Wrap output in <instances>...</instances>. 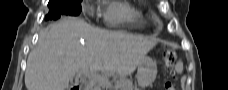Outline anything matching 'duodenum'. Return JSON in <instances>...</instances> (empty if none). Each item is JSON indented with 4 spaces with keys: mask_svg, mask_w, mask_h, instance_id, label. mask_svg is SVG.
Instances as JSON below:
<instances>
[{
    "mask_svg": "<svg viewBox=\"0 0 228 90\" xmlns=\"http://www.w3.org/2000/svg\"><path fill=\"white\" fill-rule=\"evenodd\" d=\"M71 90H82L80 86H74V87H71Z\"/></svg>",
    "mask_w": 228,
    "mask_h": 90,
    "instance_id": "410a0bca",
    "label": "duodenum"
}]
</instances>
